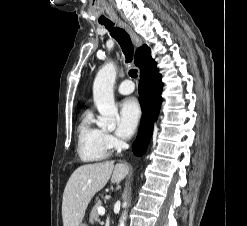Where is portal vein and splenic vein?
<instances>
[{
  "label": "portal vein and splenic vein",
  "mask_w": 247,
  "mask_h": 226,
  "mask_svg": "<svg viewBox=\"0 0 247 226\" xmlns=\"http://www.w3.org/2000/svg\"><path fill=\"white\" fill-rule=\"evenodd\" d=\"M98 213H99L100 215H104V214H105V208L102 207V206H100V207L98 208Z\"/></svg>",
  "instance_id": "obj_1"
}]
</instances>
